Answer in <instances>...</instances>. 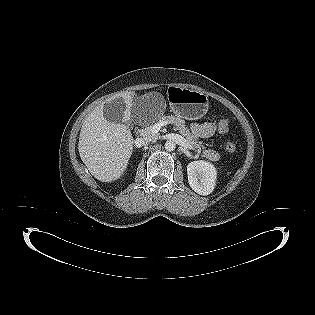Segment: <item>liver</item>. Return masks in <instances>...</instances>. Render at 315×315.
I'll return each instance as SVG.
<instances>
[{
	"mask_svg": "<svg viewBox=\"0 0 315 315\" xmlns=\"http://www.w3.org/2000/svg\"><path fill=\"white\" fill-rule=\"evenodd\" d=\"M118 98L125 103L124 121H129L133 106L132 94L123 93L106 102ZM103 107L104 104H100L85 119L80 131L78 150L81 160L97 180L112 182L126 171L134 139L125 124L109 122L104 118Z\"/></svg>",
	"mask_w": 315,
	"mask_h": 315,
	"instance_id": "liver-1",
	"label": "liver"
}]
</instances>
